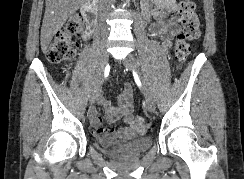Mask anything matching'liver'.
Segmentation results:
<instances>
[{
	"instance_id": "1",
	"label": "liver",
	"mask_w": 244,
	"mask_h": 179,
	"mask_svg": "<svg viewBox=\"0 0 244 179\" xmlns=\"http://www.w3.org/2000/svg\"><path fill=\"white\" fill-rule=\"evenodd\" d=\"M46 8L41 28V50L47 48L56 32H59L71 14H75L85 0H45Z\"/></svg>"
}]
</instances>
